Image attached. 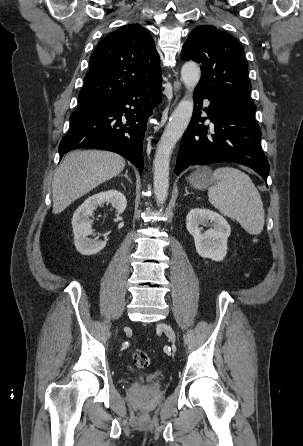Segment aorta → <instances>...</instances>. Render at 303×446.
<instances>
[{
    "mask_svg": "<svg viewBox=\"0 0 303 446\" xmlns=\"http://www.w3.org/2000/svg\"><path fill=\"white\" fill-rule=\"evenodd\" d=\"M200 76V68L196 63L187 62L182 66L181 79L189 92H192L197 86ZM193 108L192 97L183 98L179 102L157 145L153 162V187L159 204H163L168 196L171 153L190 122Z\"/></svg>",
    "mask_w": 303,
    "mask_h": 446,
    "instance_id": "aorta-1",
    "label": "aorta"
}]
</instances>
